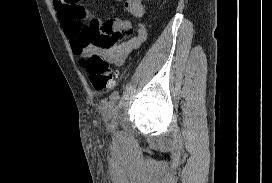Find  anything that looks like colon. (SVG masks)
I'll return each mask as SVG.
<instances>
[{"label": "colon", "mask_w": 272, "mask_h": 183, "mask_svg": "<svg viewBox=\"0 0 272 183\" xmlns=\"http://www.w3.org/2000/svg\"><path fill=\"white\" fill-rule=\"evenodd\" d=\"M88 78L96 91H105L115 85L117 72L100 56L91 54L81 60Z\"/></svg>", "instance_id": "1"}]
</instances>
